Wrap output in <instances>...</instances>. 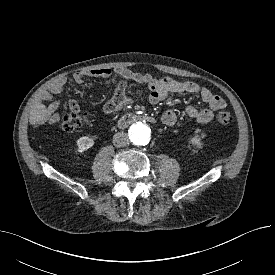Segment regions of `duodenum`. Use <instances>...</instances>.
<instances>
[{
	"mask_svg": "<svg viewBox=\"0 0 275 275\" xmlns=\"http://www.w3.org/2000/svg\"><path fill=\"white\" fill-rule=\"evenodd\" d=\"M136 121L155 122V119L153 117H150L147 115L136 114V113H127L119 119L118 125L120 127L124 128Z\"/></svg>",
	"mask_w": 275,
	"mask_h": 275,
	"instance_id": "duodenum-1",
	"label": "duodenum"
}]
</instances>
